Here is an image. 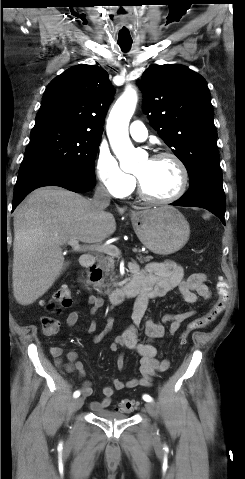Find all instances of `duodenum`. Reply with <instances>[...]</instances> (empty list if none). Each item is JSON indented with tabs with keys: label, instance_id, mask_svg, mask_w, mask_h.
Returning <instances> with one entry per match:
<instances>
[{
	"label": "duodenum",
	"instance_id": "1",
	"mask_svg": "<svg viewBox=\"0 0 245 479\" xmlns=\"http://www.w3.org/2000/svg\"><path fill=\"white\" fill-rule=\"evenodd\" d=\"M83 267L89 269L90 271H95V260L94 256L91 253L86 254L82 258ZM99 279V276L93 277V280L96 281ZM143 283L141 278L136 272H132V278L124 283L122 286L112 290L108 293L109 300L114 304H119L126 299H132L138 297L141 293Z\"/></svg>",
	"mask_w": 245,
	"mask_h": 479
}]
</instances>
